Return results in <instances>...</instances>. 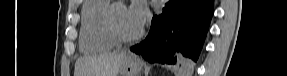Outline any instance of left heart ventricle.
I'll return each mask as SVG.
<instances>
[{"mask_svg":"<svg viewBox=\"0 0 287 76\" xmlns=\"http://www.w3.org/2000/svg\"><path fill=\"white\" fill-rule=\"evenodd\" d=\"M116 22L119 28L126 34H135L140 30L130 17L126 6H118L116 8Z\"/></svg>","mask_w":287,"mask_h":76,"instance_id":"obj_1","label":"left heart ventricle"}]
</instances>
